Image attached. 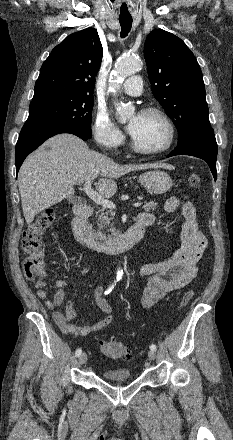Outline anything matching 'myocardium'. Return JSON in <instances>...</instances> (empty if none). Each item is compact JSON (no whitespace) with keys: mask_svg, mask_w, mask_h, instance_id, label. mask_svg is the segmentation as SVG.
Wrapping results in <instances>:
<instances>
[{"mask_svg":"<svg viewBox=\"0 0 233 440\" xmlns=\"http://www.w3.org/2000/svg\"><path fill=\"white\" fill-rule=\"evenodd\" d=\"M140 114H151V115H157L160 117L164 123L166 124L168 128V140L164 146L158 149L149 150L142 148L140 145L137 144V142L134 140V138L131 135L130 138V144L131 148L139 154L142 155H148V156H155L160 155L168 151L172 145L174 144L175 138H176V130L175 126L171 120V118L168 116L166 112H164L162 109L156 108V107H147L141 110Z\"/></svg>","mask_w":233,"mask_h":440,"instance_id":"f54148a6","label":"myocardium"}]
</instances>
